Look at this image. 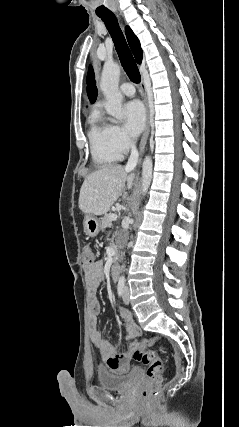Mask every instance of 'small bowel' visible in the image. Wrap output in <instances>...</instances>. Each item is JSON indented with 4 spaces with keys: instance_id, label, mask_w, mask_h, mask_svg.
<instances>
[{
    "instance_id": "c3829d8e",
    "label": "small bowel",
    "mask_w": 239,
    "mask_h": 427,
    "mask_svg": "<svg viewBox=\"0 0 239 427\" xmlns=\"http://www.w3.org/2000/svg\"><path fill=\"white\" fill-rule=\"evenodd\" d=\"M86 280L89 286L90 300V325L92 328L91 339L94 346L104 360L107 368L115 373H126L130 369L131 355L152 343L149 339H138L142 335V330L135 323L131 313L125 308H119V315L125 324L127 337L135 338L127 349L121 344L112 345L97 330V318L100 313V304L95 297L99 285L104 280V265L102 261H97L84 268Z\"/></svg>"
}]
</instances>
